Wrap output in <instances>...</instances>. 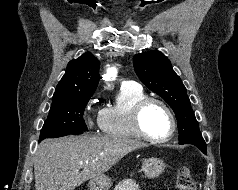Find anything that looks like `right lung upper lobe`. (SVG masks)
I'll list each match as a JSON object with an SVG mask.
<instances>
[{
    "label": "right lung upper lobe",
    "instance_id": "1",
    "mask_svg": "<svg viewBox=\"0 0 238 190\" xmlns=\"http://www.w3.org/2000/svg\"><path fill=\"white\" fill-rule=\"evenodd\" d=\"M99 65L98 59L90 52L71 60L56 87L53 101L80 94H93L99 81Z\"/></svg>",
    "mask_w": 238,
    "mask_h": 190
}]
</instances>
